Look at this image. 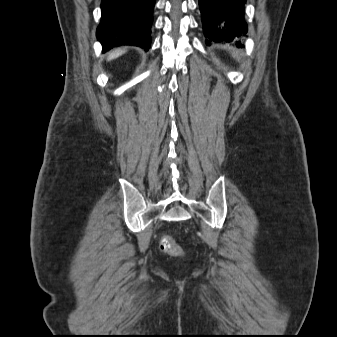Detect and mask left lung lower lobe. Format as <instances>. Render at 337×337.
Returning <instances> with one entry per match:
<instances>
[{
	"label": "left lung lower lobe",
	"mask_w": 337,
	"mask_h": 337,
	"mask_svg": "<svg viewBox=\"0 0 337 337\" xmlns=\"http://www.w3.org/2000/svg\"><path fill=\"white\" fill-rule=\"evenodd\" d=\"M245 2L246 0H199L207 45L211 41H235L237 47H242L240 39L246 37L248 32L244 20Z\"/></svg>",
	"instance_id": "1"
}]
</instances>
